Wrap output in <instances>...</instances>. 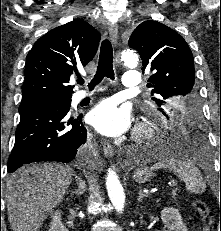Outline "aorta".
I'll use <instances>...</instances> for the list:
<instances>
[{"instance_id": "762f6f07", "label": "aorta", "mask_w": 221, "mask_h": 231, "mask_svg": "<svg viewBox=\"0 0 221 231\" xmlns=\"http://www.w3.org/2000/svg\"><path fill=\"white\" fill-rule=\"evenodd\" d=\"M120 60L125 66L135 67L138 63V56L134 50L125 49L121 53ZM106 187L112 205L116 211L122 212L125 205V194L116 172L112 169L108 170Z\"/></svg>"}]
</instances>
